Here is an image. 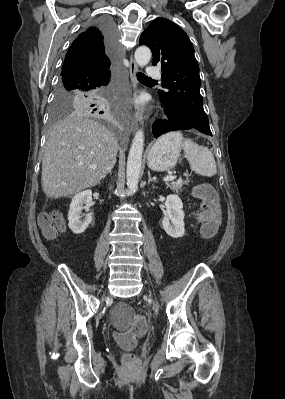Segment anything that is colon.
I'll return each instance as SVG.
<instances>
[{
	"label": "colon",
	"instance_id": "1",
	"mask_svg": "<svg viewBox=\"0 0 285 399\" xmlns=\"http://www.w3.org/2000/svg\"><path fill=\"white\" fill-rule=\"evenodd\" d=\"M192 195L200 201L202 212L208 216V220L201 228V234L204 238L213 237L221 222L215 193L209 186L198 185L194 187ZM38 226L45 236L52 237L58 230H61L62 221L56 214H43L38 220ZM146 329L147 320L144 317L136 316L128 330L116 334L117 340L128 348V351L123 356L125 365L132 366L137 363V358L131 353V349L136 344L137 339L145 333Z\"/></svg>",
	"mask_w": 285,
	"mask_h": 399
}]
</instances>
